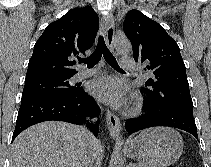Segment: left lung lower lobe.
<instances>
[{"instance_id": "0a47b994", "label": "left lung lower lobe", "mask_w": 211, "mask_h": 167, "mask_svg": "<svg viewBox=\"0 0 211 167\" xmlns=\"http://www.w3.org/2000/svg\"><path fill=\"white\" fill-rule=\"evenodd\" d=\"M144 105L147 108L146 115L126 121L125 127L129 134L149 127L169 126L187 131L198 139L197 127L192 114L173 109L151 111L145 103Z\"/></svg>"}]
</instances>
